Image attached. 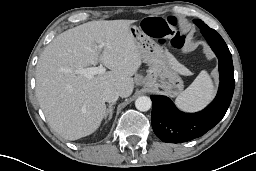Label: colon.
<instances>
[{"instance_id":"colon-1","label":"colon","mask_w":256,"mask_h":171,"mask_svg":"<svg viewBox=\"0 0 256 171\" xmlns=\"http://www.w3.org/2000/svg\"><path fill=\"white\" fill-rule=\"evenodd\" d=\"M146 32L160 43H170L175 48L183 45V36L176 31L174 18H148L144 23Z\"/></svg>"}]
</instances>
